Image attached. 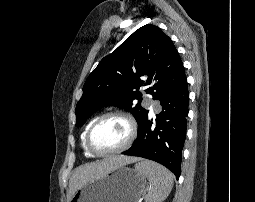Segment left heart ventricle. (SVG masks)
Masks as SVG:
<instances>
[{
	"label": "left heart ventricle",
	"instance_id": "left-heart-ventricle-1",
	"mask_svg": "<svg viewBox=\"0 0 255 202\" xmlns=\"http://www.w3.org/2000/svg\"><path fill=\"white\" fill-rule=\"evenodd\" d=\"M127 123L118 117L105 119L94 129L92 146L100 152H108L122 146L128 138Z\"/></svg>",
	"mask_w": 255,
	"mask_h": 202
}]
</instances>
